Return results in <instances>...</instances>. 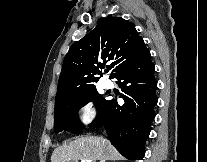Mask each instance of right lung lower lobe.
Segmentation results:
<instances>
[{
    "mask_svg": "<svg viewBox=\"0 0 207 162\" xmlns=\"http://www.w3.org/2000/svg\"><path fill=\"white\" fill-rule=\"evenodd\" d=\"M115 78L125 93L124 105L108 100L90 126H104L111 143L124 157L142 160L158 101L151 55L126 67Z\"/></svg>",
    "mask_w": 207,
    "mask_h": 162,
    "instance_id": "98d812e1",
    "label": "right lung lower lobe"
}]
</instances>
